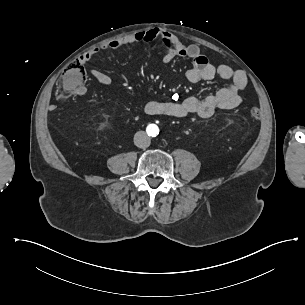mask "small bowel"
Wrapping results in <instances>:
<instances>
[{
	"label": "small bowel",
	"instance_id": "obj_1",
	"mask_svg": "<svg viewBox=\"0 0 305 305\" xmlns=\"http://www.w3.org/2000/svg\"><path fill=\"white\" fill-rule=\"evenodd\" d=\"M155 40L161 41L167 48V51L162 56L163 63H169L177 57L187 58L192 61V67L186 72V78L189 82L209 81L218 77L228 81L229 85L201 99L190 96L182 100L149 101L144 107L147 114L166 115L178 118H185L195 114L201 118H208L217 110H231L240 105L242 101L240 94L247 86L245 73L242 71H234L224 64H213L201 52L197 45H187L166 31L152 29L111 40L85 52L79 57V61L81 63H87L100 52L117 50L132 44L149 43ZM90 75L104 86H109L112 82L108 74L99 70H90ZM85 90V87H81L79 93H84Z\"/></svg>",
	"mask_w": 305,
	"mask_h": 305
}]
</instances>
